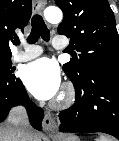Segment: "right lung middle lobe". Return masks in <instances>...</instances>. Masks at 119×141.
<instances>
[{
    "label": "right lung middle lobe",
    "instance_id": "dd1d6c3e",
    "mask_svg": "<svg viewBox=\"0 0 119 141\" xmlns=\"http://www.w3.org/2000/svg\"><path fill=\"white\" fill-rule=\"evenodd\" d=\"M11 64V57H0V78L11 79L14 77Z\"/></svg>",
    "mask_w": 119,
    "mask_h": 141
}]
</instances>
